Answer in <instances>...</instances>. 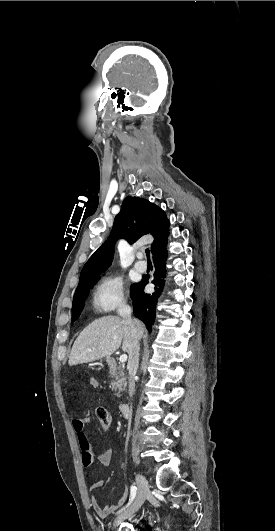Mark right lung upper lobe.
Here are the masks:
<instances>
[{"mask_svg": "<svg viewBox=\"0 0 275 531\" xmlns=\"http://www.w3.org/2000/svg\"><path fill=\"white\" fill-rule=\"evenodd\" d=\"M146 234H150L154 238L151 252L168 239L169 220L165 212L148 200L132 196L126 197L120 213L115 217L110 236L84 265L77 289L89 279L98 277L111 265L114 246L119 238H124L132 244Z\"/></svg>", "mask_w": 275, "mask_h": 531, "instance_id": "right-lung-upper-lobe-1", "label": "right lung upper lobe"}]
</instances>
